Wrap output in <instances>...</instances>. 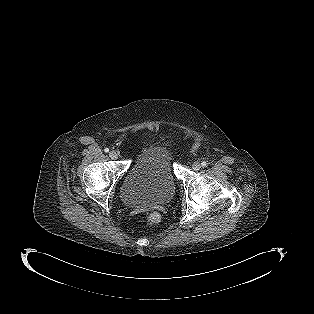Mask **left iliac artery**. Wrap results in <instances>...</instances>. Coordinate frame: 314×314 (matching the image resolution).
Here are the masks:
<instances>
[{"mask_svg": "<svg viewBox=\"0 0 314 314\" xmlns=\"http://www.w3.org/2000/svg\"><path fill=\"white\" fill-rule=\"evenodd\" d=\"M201 165H202L203 167H206L207 163H206L205 161H203V162L201 163Z\"/></svg>", "mask_w": 314, "mask_h": 314, "instance_id": "obj_1", "label": "left iliac artery"}]
</instances>
